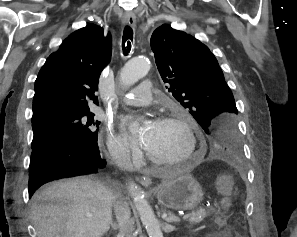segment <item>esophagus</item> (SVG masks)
Masks as SVG:
<instances>
[{
  "instance_id": "esophagus-1",
  "label": "esophagus",
  "mask_w": 297,
  "mask_h": 237,
  "mask_svg": "<svg viewBox=\"0 0 297 237\" xmlns=\"http://www.w3.org/2000/svg\"><path fill=\"white\" fill-rule=\"evenodd\" d=\"M123 24L125 25H129L131 27H134L135 26V23H136V17L134 14H126L124 17H123V20H122ZM140 183L144 186V187H149L151 184H152V180L150 178V176L147 174L145 176H142L140 178Z\"/></svg>"
}]
</instances>
